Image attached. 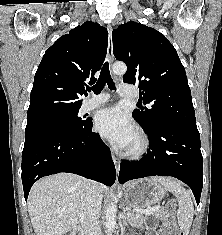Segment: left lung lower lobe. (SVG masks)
Instances as JSON below:
<instances>
[{
  "mask_svg": "<svg viewBox=\"0 0 222 235\" xmlns=\"http://www.w3.org/2000/svg\"><path fill=\"white\" fill-rule=\"evenodd\" d=\"M149 150L139 161L120 164L119 182L147 176H172L187 184L200 202L203 157L198 130L177 125H163L145 130Z\"/></svg>",
  "mask_w": 222,
  "mask_h": 235,
  "instance_id": "0a47b994",
  "label": "left lung lower lobe"
}]
</instances>
